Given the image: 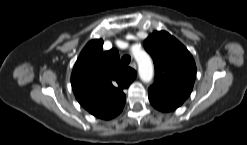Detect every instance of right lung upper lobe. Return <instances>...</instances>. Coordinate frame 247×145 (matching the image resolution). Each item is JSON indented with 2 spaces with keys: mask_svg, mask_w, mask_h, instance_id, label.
<instances>
[{
  "mask_svg": "<svg viewBox=\"0 0 247 145\" xmlns=\"http://www.w3.org/2000/svg\"><path fill=\"white\" fill-rule=\"evenodd\" d=\"M101 39L91 40L80 53L71 75L78 102L101 119L116 117L123 109V90L136 78V71L120 64L116 49L103 52Z\"/></svg>",
  "mask_w": 247,
  "mask_h": 145,
  "instance_id": "right-lung-upper-lobe-1",
  "label": "right lung upper lobe"
}]
</instances>
